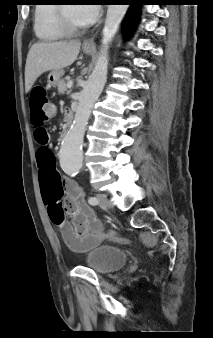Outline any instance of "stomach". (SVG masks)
Wrapping results in <instances>:
<instances>
[{"label":"stomach","mask_w":213,"mask_h":338,"mask_svg":"<svg viewBox=\"0 0 213 338\" xmlns=\"http://www.w3.org/2000/svg\"><path fill=\"white\" fill-rule=\"evenodd\" d=\"M83 52L86 54H91L92 53V49H87L85 47H83ZM64 74V70L63 69H57V70H53L49 73L48 75V87H55L58 85L61 77Z\"/></svg>","instance_id":"stomach-1"}]
</instances>
